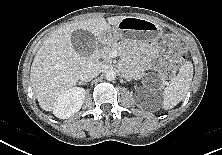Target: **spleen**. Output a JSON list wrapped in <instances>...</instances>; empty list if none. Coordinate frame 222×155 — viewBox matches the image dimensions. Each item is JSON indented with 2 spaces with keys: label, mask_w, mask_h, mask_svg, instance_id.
Returning a JSON list of instances; mask_svg holds the SVG:
<instances>
[{
  "label": "spleen",
  "mask_w": 222,
  "mask_h": 155,
  "mask_svg": "<svg viewBox=\"0 0 222 155\" xmlns=\"http://www.w3.org/2000/svg\"><path fill=\"white\" fill-rule=\"evenodd\" d=\"M193 77V65L185 62L176 77L164 88L162 107L165 110L175 107L184 99Z\"/></svg>",
  "instance_id": "obj_1"
}]
</instances>
